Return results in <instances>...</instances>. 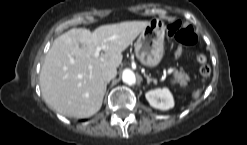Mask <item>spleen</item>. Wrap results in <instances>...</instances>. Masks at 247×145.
<instances>
[{
	"label": "spleen",
	"mask_w": 247,
	"mask_h": 145,
	"mask_svg": "<svg viewBox=\"0 0 247 145\" xmlns=\"http://www.w3.org/2000/svg\"><path fill=\"white\" fill-rule=\"evenodd\" d=\"M201 94V90H197L194 94H193V97L194 98H198Z\"/></svg>",
	"instance_id": "spleen-1"
}]
</instances>
